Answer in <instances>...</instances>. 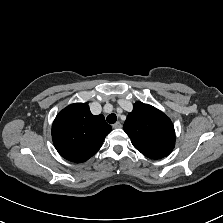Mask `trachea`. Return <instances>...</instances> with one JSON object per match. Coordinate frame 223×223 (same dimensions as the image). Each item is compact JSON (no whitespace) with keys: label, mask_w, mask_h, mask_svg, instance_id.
Returning <instances> with one entry per match:
<instances>
[{"label":"trachea","mask_w":223,"mask_h":223,"mask_svg":"<svg viewBox=\"0 0 223 223\" xmlns=\"http://www.w3.org/2000/svg\"><path fill=\"white\" fill-rule=\"evenodd\" d=\"M117 121V116L112 113L107 116V122L110 124H114Z\"/></svg>","instance_id":"3493384b"}]
</instances>
